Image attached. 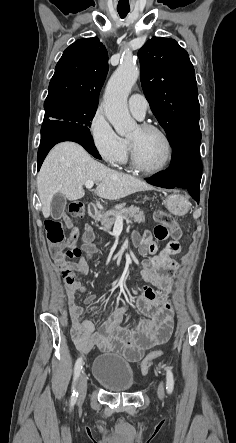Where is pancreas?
<instances>
[{"label":"pancreas","mask_w":236,"mask_h":443,"mask_svg":"<svg viewBox=\"0 0 236 443\" xmlns=\"http://www.w3.org/2000/svg\"><path fill=\"white\" fill-rule=\"evenodd\" d=\"M116 215L123 216L124 218H129L137 223L145 222V215L139 207L130 206L128 208H124L123 206H120L116 210L102 212L101 214L97 215L98 220L101 222L100 229H110L116 222Z\"/></svg>","instance_id":"1"}]
</instances>
